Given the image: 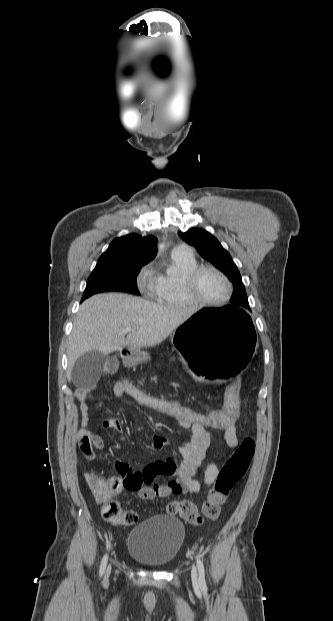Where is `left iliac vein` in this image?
<instances>
[{
    "mask_svg": "<svg viewBox=\"0 0 333 621\" xmlns=\"http://www.w3.org/2000/svg\"><path fill=\"white\" fill-rule=\"evenodd\" d=\"M191 577H192V582L194 585H198L199 584V579H198V573L195 567L192 568L191 571Z\"/></svg>",
    "mask_w": 333,
    "mask_h": 621,
    "instance_id": "left-iliac-vein-1",
    "label": "left iliac vein"
}]
</instances>
